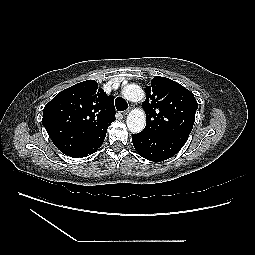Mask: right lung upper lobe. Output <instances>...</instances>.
Returning <instances> with one entry per match:
<instances>
[{
	"instance_id": "obj_1",
	"label": "right lung upper lobe",
	"mask_w": 255,
	"mask_h": 255,
	"mask_svg": "<svg viewBox=\"0 0 255 255\" xmlns=\"http://www.w3.org/2000/svg\"><path fill=\"white\" fill-rule=\"evenodd\" d=\"M115 120L114 98L94 80L75 84L58 93L43 110V126L54 145L75 156Z\"/></svg>"
}]
</instances>
